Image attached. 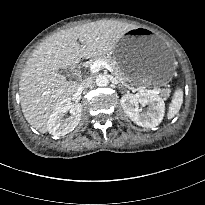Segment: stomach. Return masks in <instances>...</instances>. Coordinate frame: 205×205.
<instances>
[{"mask_svg":"<svg viewBox=\"0 0 205 205\" xmlns=\"http://www.w3.org/2000/svg\"><path fill=\"white\" fill-rule=\"evenodd\" d=\"M111 53L122 74L135 85H160L175 68L174 55L166 42L145 27L127 31Z\"/></svg>","mask_w":205,"mask_h":205,"instance_id":"1","label":"stomach"}]
</instances>
